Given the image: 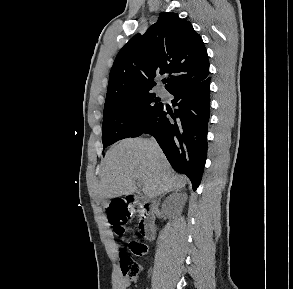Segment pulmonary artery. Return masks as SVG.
Segmentation results:
<instances>
[{
    "label": "pulmonary artery",
    "mask_w": 293,
    "mask_h": 289,
    "mask_svg": "<svg viewBox=\"0 0 293 289\" xmlns=\"http://www.w3.org/2000/svg\"><path fill=\"white\" fill-rule=\"evenodd\" d=\"M158 92H159L160 95H164V91H163V89L160 88V89L158 90Z\"/></svg>",
    "instance_id": "1"
}]
</instances>
